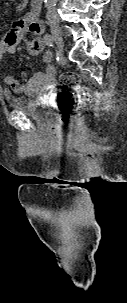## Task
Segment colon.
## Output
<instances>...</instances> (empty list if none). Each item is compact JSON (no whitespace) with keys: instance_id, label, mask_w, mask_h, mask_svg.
Segmentation results:
<instances>
[{"instance_id":"5ec220e1","label":"colon","mask_w":127,"mask_h":303,"mask_svg":"<svg viewBox=\"0 0 127 303\" xmlns=\"http://www.w3.org/2000/svg\"><path fill=\"white\" fill-rule=\"evenodd\" d=\"M59 85L62 88L61 108L68 118L87 108L91 103L90 89L81 83L79 76L72 71L61 74Z\"/></svg>"}]
</instances>
